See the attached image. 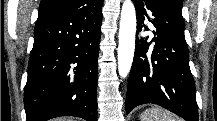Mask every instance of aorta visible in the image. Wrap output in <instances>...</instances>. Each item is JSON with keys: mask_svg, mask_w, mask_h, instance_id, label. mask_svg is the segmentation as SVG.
<instances>
[{"mask_svg": "<svg viewBox=\"0 0 217 121\" xmlns=\"http://www.w3.org/2000/svg\"><path fill=\"white\" fill-rule=\"evenodd\" d=\"M136 12L131 0H124L121 10L119 46H118V72L121 78L129 74L135 50Z\"/></svg>", "mask_w": 217, "mask_h": 121, "instance_id": "1", "label": "aorta"}]
</instances>
